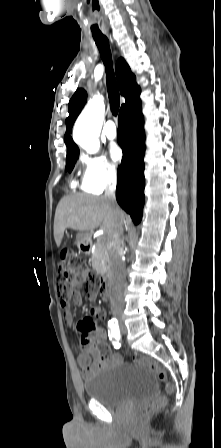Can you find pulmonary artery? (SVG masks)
I'll return each mask as SVG.
<instances>
[{"mask_svg":"<svg viewBox=\"0 0 221 448\" xmlns=\"http://www.w3.org/2000/svg\"><path fill=\"white\" fill-rule=\"evenodd\" d=\"M104 133L109 140H113L117 137V128L113 121H108L106 123Z\"/></svg>","mask_w":221,"mask_h":448,"instance_id":"pulmonary-artery-1","label":"pulmonary artery"}]
</instances>
